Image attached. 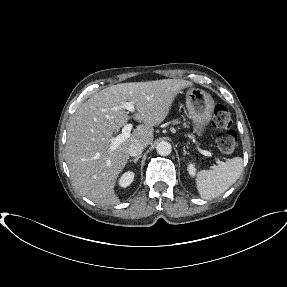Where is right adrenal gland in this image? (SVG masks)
Listing matches in <instances>:
<instances>
[{
  "mask_svg": "<svg viewBox=\"0 0 287 287\" xmlns=\"http://www.w3.org/2000/svg\"><path fill=\"white\" fill-rule=\"evenodd\" d=\"M140 158H141V156H138V157H136V158H134V159H130L129 162H130V163H131V162H134V163L136 164L137 161H138Z\"/></svg>",
  "mask_w": 287,
  "mask_h": 287,
  "instance_id": "obj_1",
  "label": "right adrenal gland"
}]
</instances>
